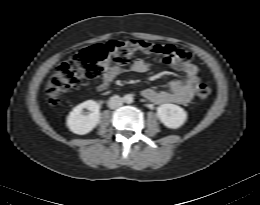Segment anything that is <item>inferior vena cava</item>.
Segmentation results:
<instances>
[{"label": "inferior vena cava", "mask_w": 260, "mask_h": 205, "mask_svg": "<svg viewBox=\"0 0 260 205\" xmlns=\"http://www.w3.org/2000/svg\"><path fill=\"white\" fill-rule=\"evenodd\" d=\"M123 104V98L118 95L112 96L108 101V106L111 109H116Z\"/></svg>", "instance_id": "inferior-vena-cava-1"}]
</instances>
